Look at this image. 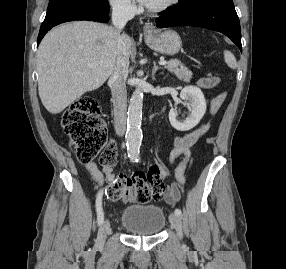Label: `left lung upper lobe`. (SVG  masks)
<instances>
[{
	"label": "left lung upper lobe",
	"mask_w": 286,
	"mask_h": 269,
	"mask_svg": "<svg viewBox=\"0 0 286 269\" xmlns=\"http://www.w3.org/2000/svg\"><path fill=\"white\" fill-rule=\"evenodd\" d=\"M203 2H232V0H179L178 8L185 9Z\"/></svg>",
	"instance_id": "5c2ea615"
}]
</instances>
